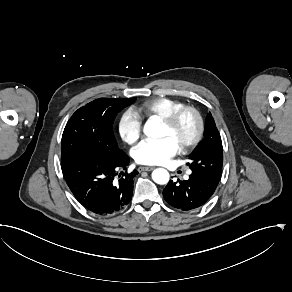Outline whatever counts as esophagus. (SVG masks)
Instances as JSON below:
<instances>
[{
    "mask_svg": "<svg viewBox=\"0 0 292 292\" xmlns=\"http://www.w3.org/2000/svg\"><path fill=\"white\" fill-rule=\"evenodd\" d=\"M154 169V167H150V166H141L138 168V172H142V171H152Z\"/></svg>",
    "mask_w": 292,
    "mask_h": 292,
    "instance_id": "esophagus-1",
    "label": "esophagus"
}]
</instances>
